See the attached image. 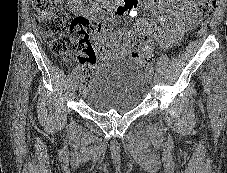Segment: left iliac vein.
<instances>
[{"mask_svg": "<svg viewBox=\"0 0 227 173\" xmlns=\"http://www.w3.org/2000/svg\"><path fill=\"white\" fill-rule=\"evenodd\" d=\"M145 78H146L147 83L150 84V83L152 82V73L149 72V71H147V72L145 73Z\"/></svg>", "mask_w": 227, "mask_h": 173, "instance_id": "left-iliac-vein-1", "label": "left iliac vein"}]
</instances>
